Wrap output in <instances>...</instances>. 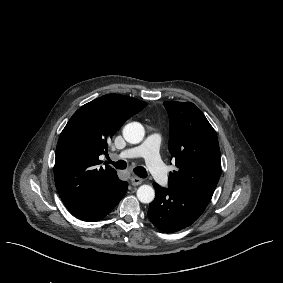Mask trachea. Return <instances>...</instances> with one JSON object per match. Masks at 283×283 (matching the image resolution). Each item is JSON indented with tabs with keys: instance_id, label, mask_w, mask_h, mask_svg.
I'll use <instances>...</instances> for the list:
<instances>
[{
	"instance_id": "3493384b",
	"label": "trachea",
	"mask_w": 283,
	"mask_h": 283,
	"mask_svg": "<svg viewBox=\"0 0 283 283\" xmlns=\"http://www.w3.org/2000/svg\"><path fill=\"white\" fill-rule=\"evenodd\" d=\"M107 163L114 165L117 169H126V167H127V164L124 160H119L117 162H114V161H111L110 159H108ZM133 171L140 178H146L148 176L146 169L142 166H138V167L134 168Z\"/></svg>"
}]
</instances>
